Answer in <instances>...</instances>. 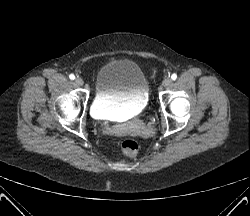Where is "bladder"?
Segmentation results:
<instances>
[{"mask_svg": "<svg viewBox=\"0 0 250 216\" xmlns=\"http://www.w3.org/2000/svg\"><path fill=\"white\" fill-rule=\"evenodd\" d=\"M148 100V81L135 62L113 60L98 70L91 106L95 116L108 118L139 113Z\"/></svg>", "mask_w": 250, "mask_h": 216, "instance_id": "bladder-1", "label": "bladder"}]
</instances>
